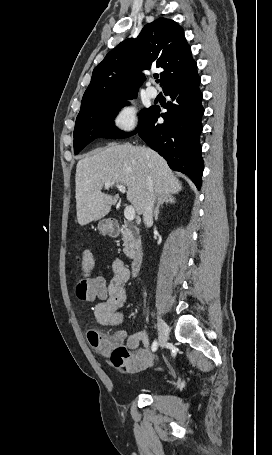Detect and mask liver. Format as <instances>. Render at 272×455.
Returning a JSON list of instances; mask_svg holds the SVG:
<instances>
[{
  "mask_svg": "<svg viewBox=\"0 0 272 455\" xmlns=\"http://www.w3.org/2000/svg\"><path fill=\"white\" fill-rule=\"evenodd\" d=\"M148 178L154 195L176 194L182 185L166 161L145 146L112 143L87 154L76 168V211L81 226L106 216L118 195L101 192L106 181L127 186V200L137 214H142L149 192Z\"/></svg>",
  "mask_w": 272,
  "mask_h": 455,
  "instance_id": "6515ba94",
  "label": "liver"
}]
</instances>
